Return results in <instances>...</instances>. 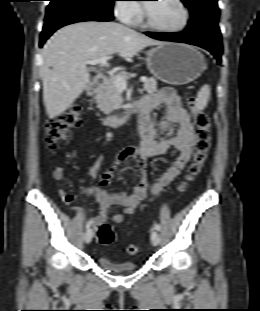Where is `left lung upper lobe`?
<instances>
[{"mask_svg": "<svg viewBox=\"0 0 260 311\" xmlns=\"http://www.w3.org/2000/svg\"><path fill=\"white\" fill-rule=\"evenodd\" d=\"M190 9L191 20L188 30L220 34L218 27L219 8L217 0H181Z\"/></svg>", "mask_w": 260, "mask_h": 311, "instance_id": "5c2ea615", "label": "left lung upper lobe"}]
</instances>
